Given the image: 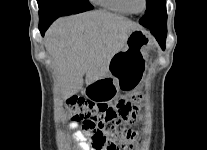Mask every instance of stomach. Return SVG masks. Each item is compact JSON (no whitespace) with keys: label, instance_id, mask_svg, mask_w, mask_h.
Instances as JSON below:
<instances>
[{"label":"stomach","instance_id":"1","mask_svg":"<svg viewBox=\"0 0 207 150\" xmlns=\"http://www.w3.org/2000/svg\"><path fill=\"white\" fill-rule=\"evenodd\" d=\"M151 42V37L142 29L130 32L122 50L112 57L108 75L85 88L87 97L109 101L120 89L135 87L145 74L147 51Z\"/></svg>","mask_w":207,"mask_h":150}]
</instances>
